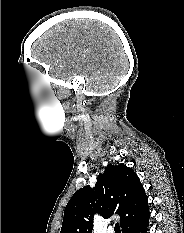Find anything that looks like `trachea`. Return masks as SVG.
Returning <instances> with one entry per match:
<instances>
[{"label": "trachea", "mask_w": 184, "mask_h": 233, "mask_svg": "<svg viewBox=\"0 0 184 233\" xmlns=\"http://www.w3.org/2000/svg\"><path fill=\"white\" fill-rule=\"evenodd\" d=\"M114 231L115 233H121L120 225L118 222L115 224Z\"/></svg>", "instance_id": "3493384b"}]
</instances>
